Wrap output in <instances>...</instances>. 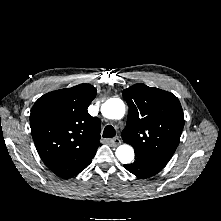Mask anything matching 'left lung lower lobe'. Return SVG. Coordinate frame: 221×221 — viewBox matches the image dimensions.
Segmentation results:
<instances>
[{
    "instance_id": "1",
    "label": "left lung lower lobe",
    "mask_w": 221,
    "mask_h": 221,
    "mask_svg": "<svg viewBox=\"0 0 221 221\" xmlns=\"http://www.w3.org/2000/svg\"><path fill=\"white\" fill-rule=\"evenodd\" d=\"M136 160L132 164L124 165L132 174L139 178H147L156 175L161 171L167 162L157 159H151L135 154Z\"/></svg>"
}]
</instances>
